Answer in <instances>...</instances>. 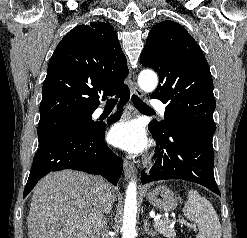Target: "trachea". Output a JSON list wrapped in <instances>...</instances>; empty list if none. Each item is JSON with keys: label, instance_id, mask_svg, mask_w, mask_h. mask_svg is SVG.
I'll return each mask as SVG.
<instances>
[{"label": "trachea", "instance_id": "trachea-1", "mask_svg": "<svg viewBox=\"0 0 247 238\" xmlns=\"http://www.w3.org/2000/svg\"><path fill=\"white\" fill-rule=\"evenodd\" d=\"M132 102L133 104L138 108V109H142V110H150L152 111V109L146 105L138 96L133 95L132 96ZM108 103H117V99L115 98H111L107 101Z\"/></svg>", "mask_w": 247, "mask_h": 238}]
</instances>
